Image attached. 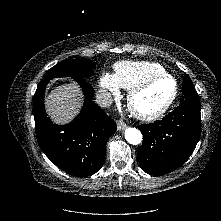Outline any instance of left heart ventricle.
<instances>
[{
	"label": "left heart ventricle",
	"mask_w": 221,
	"mask_h": 221,
	"mask_svg": "<svg viewBox=\"0 0 221 221\" xmlns=\"http://www.w3.org/2000/svg\"><path fill=\"white\" fill-rule=\"evenodd\" d=\"M173 90L170 80H160L141 93L135 100L136 107L143 112H152L162 106Z\"/></svg>",
	"instance_id": "1"
}]
</instances>
